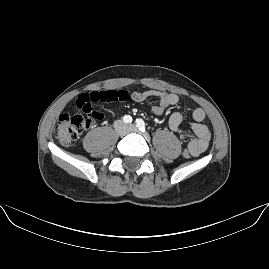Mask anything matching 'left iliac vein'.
<instances>
[{
    "mask_svg": "<svg viewBox=\"0 0 269 269\" xmlns=\"http://www.w3.org/2000/svg\"><path fill=\"white\" fill-rule=\"evenodd\" d=\"M129 130H130L131 132H136V131H137V128H136L135 125H130V126H129Z\"/></svg>",
    "mask_w": 269,
    "mask_h": 269,
    "instance_id": "left-iliac-vein-1",
    "label": "left iliac vein"
}]
</instances>
